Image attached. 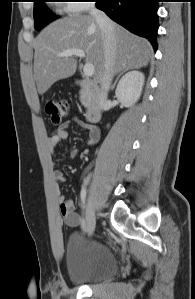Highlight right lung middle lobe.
I'll list each match as a JSON object with an SVG mask.
<instances>
[{"instance_id":"1","label":"right lung middle lobe","mask_w":195,"mask_h":299,"mask_svg":"<svg viewBox=\"0 0 195 299\" xmlns=\"http://www.w3.org/2000/svg\"><path fill=\"white\" fill-rule=\"evenodd\" d=\"M45 1L46 0H34V26L37 31L57 18L47 8Z\"/></svg>"}]
</instances>
